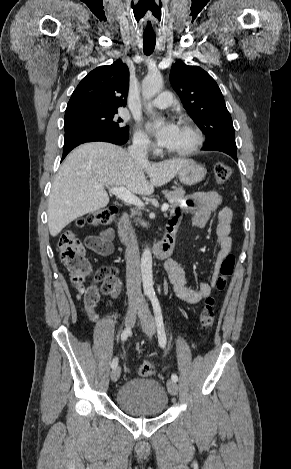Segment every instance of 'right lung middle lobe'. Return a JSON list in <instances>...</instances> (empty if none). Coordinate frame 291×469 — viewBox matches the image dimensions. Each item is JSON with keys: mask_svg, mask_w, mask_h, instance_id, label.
<instances>
[{"mask_svg": "<svg viewBox=\"0 0 291 469\" xmlns=\"http://www.w3.org/2000/svg\"><path fill=\"white\" fill-rule=\"evenodd\" d=\"M115 109H89L65 114V132L74 129H99L105 131H128L117 118Z\"/></svg>", "mask_w": 291, "mask_h": 469, "instance_id": "right-lung-middle-lobe-1", "label": "right lung middle lobe"}]
</instances>
